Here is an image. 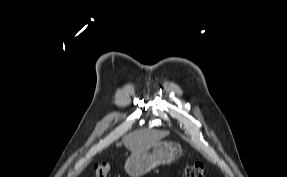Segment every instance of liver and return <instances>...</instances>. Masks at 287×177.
Here are the masks:
<instances>
[{
  "label": "liver",
  "instance_id": "obj_1",
  "mask_svg": "<svg viewBox=\"0 0 287 177\" xmlns=\"http://www.w3.org/2000/svg\"><path fill=\"white\" fill-rule=\"evenodd\" d=\"M169 135L168 131L140 129L126 135L122 142L131 152L142 150Z\"/></svg>",
  "mask_w": 287,
  "mask_h": 177
}]
</instances>
